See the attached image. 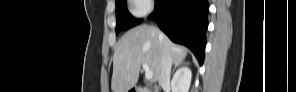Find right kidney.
<instances>
[{"label":"right kidney","mask_w":296,"mask_h":92,"mask_svg":"<svg viewBox=\"0 0 296 92\" xmlns=\"http://www.w3.org/2000/svg\"><path fill=\"white\" fill-rule=\"evenodd\" d=\"M191 78L192 72L188 67L184 66L180 68L172 78V92H189Z\"/></svg>","instance_id":"right-kidney-1"}]
</instances>
